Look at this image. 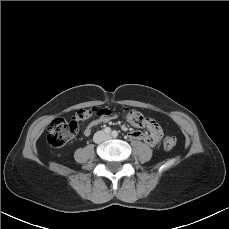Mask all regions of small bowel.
<instances>
[{"label":"small bowel","instance_id":"small-bowel-1","mask_svg":"<svg viewBox=\"0 0 229 229\" xmlns=\"http://www.w3.org/2000/svg\"><path fill=\"white\" fill-rule=\"evenodd\" d=\"M112 118L113 115L111 113H101L99 117L90 123L89 126L84 130V134L86 136L90 135L96 126L102 123H106ZM145 126L148 129V133L133 131L129 133V137L134 140H142L148 145H156L159 142L162 133L160 125L153 118H147V123Z\"/></svg>","mask_w":229,"mask_h":229}]
</instances>
